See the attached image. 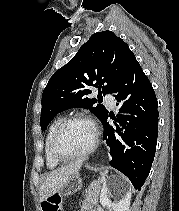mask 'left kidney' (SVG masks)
I'll use <instances>...</instances> for the list:
<instances>
[{"label":"left kidney","instance_id":"obj_1","mask_svg":"<svg viewBox=\"0 0 179 211\" xmlns=\"http://www.w3.org/2000/svg\"><path fill=\"white\" fill-rule=\"evenodd\" d=\"M112 191L116 192L115 201L110 198L113 196ZM131 201V191L113 181L104 183L100 193V203L110 211H129Z\"/></svg>","mask_w":179,"mask_h":211}]
</instances>
